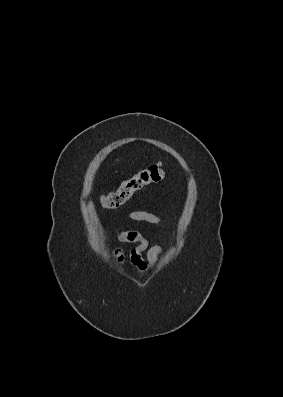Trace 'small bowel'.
Returning <instances> with one entry per match:
<instances>
[{"instance_id": "c3829d8e", "label": "small bowel", "mask_w": 283, "mask_h": 397, "mask_svg": "<svg viewBox=\"0 0 283 397\" xmlns=\"http://www.w3.org/2000/svg\"><path fill=\"white\" fill-rule=\"evenodd\" d=\"M127 217L136 222L163 224V220L159 216L143 210L128 211ZM117 238L119 241L133 246L127 253L120 247L115 248L112 251L113 258L121 266L129 263L139 274H145L152 270L164 252L161 245H150L148 240L136 230H118Z\"/></svg>"}]
</instances>
